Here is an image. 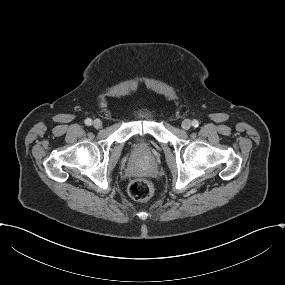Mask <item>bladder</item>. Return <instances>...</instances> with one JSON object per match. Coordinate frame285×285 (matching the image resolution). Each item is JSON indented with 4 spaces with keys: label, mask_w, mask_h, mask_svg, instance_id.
Instances as JSON below:
<instances>
[{
    "label": "bladder",
    "mask_w": 285,
    "mask_h": 285,
    "mask_svg": "<svg viewBox=\"0 0 285 285\" xmlns=\"http://www.w3.org/2000/svg\"><path fill=\"white\" fill-rule=\"evenodd\" d=\"M136 111H139V109H137ZM150 146L152 147L153 150L156 149V143H155V141L153 139H152V142H151Z\"/></svg>",
    "instance_id": "obj_1"
}]
</instances>
